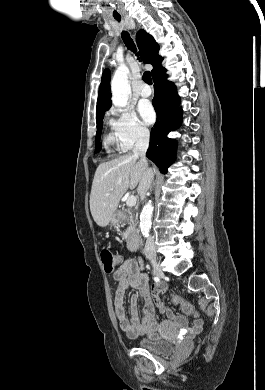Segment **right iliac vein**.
<instances>
[{"mask_svg": "<svg viewBox=\"0 0 265 390\" xmlns=\"http://www.w3.org/2000/svg\"><path fill=\"white\" fill-rule=\"evenodd\" d=\"M149 260L152 264L153 274L157 277H163L164 272H163L162 268L158 265L156 258L151 256V257H149Z\"/></svg>", "mask_w": 265, "mask_h": 390, "instance_id": "right-iliac-vein-1", "label": "right iliac vein"}]
</instances>
